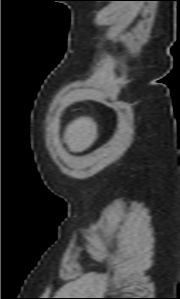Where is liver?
<instances>
[{
    "instance_id": "liver-1",
    "label": "liver",
    "mask_w": 180,
    "mask_h": 299,
    "mask_svg": "<svg viewBox=\"0 0 180 299\" xmlns=\"http://www.w3.org/2000/svg\"><path fill=\"white\" fill-rule=\"evenodd\" d=\"M97 124L90 117H79L65 129L64 141L73 152L88 149L97 139Z\"/></svg>"
}]
</instances>
